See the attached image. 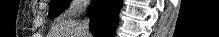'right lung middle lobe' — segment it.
Returning a JSON list of instances; mask_svg holds the SVG:
<instances>
[{
  "label": "right lung middle lobe",
  "mask_w": 219,
  "mask_h": 37,
  "mask_svg": "<svg viewBox=\"0 0 219 37\" xmlns=\"http://www.w3.org/2000/svg\"><path fill=\"white\" fill-rule=\"evenodd\" d=\"M69 0H53L50 2L49 14L51 17L59 16L65 9L66 4Z\"/></svg>",
  "instance_id": "1"
}]
</instances>
